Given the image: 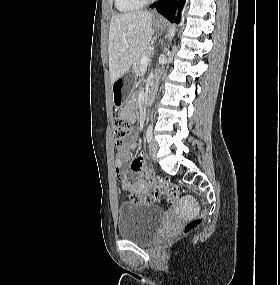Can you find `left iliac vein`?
<instances>
[{"mask_svg": "<svg viewBox=\"0 0 280 285\" xmlns=\"http://www.w3.org/2000/svg\"><path fill=\"white\" fill-rule=\"evenodd\" d=\"M157 151H158V143L155 140H152L149 145V153L153 160H156Z\"/></svg>", "mask_w": 280, "mask_h": 285, "instance_id": "left-iliac-vein-1", "label": "left iliac vein"}]
</instances>
